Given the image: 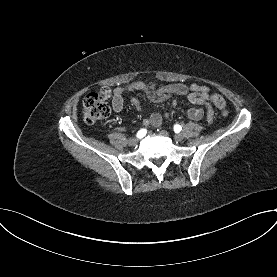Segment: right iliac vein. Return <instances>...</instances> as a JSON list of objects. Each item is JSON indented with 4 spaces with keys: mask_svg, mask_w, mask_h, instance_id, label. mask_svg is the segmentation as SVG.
I'll return each instance as SVG.
<instances>
[{
    "mask_svg": "<svg viewBox=\"0 0 277 277\" xmlns=\"http://www.w3.org/2000/svg\"><path fill=\"white\" fill-rule=\"evenodd\" d=\"M139 139L137 137L130 138L128 140L129 146H135L138 143Z\"/></svg>",
    "mask_w": 277,
    "mask_h": 277,
    "instance_id": "obj_1",
    "label": "right iliac vein"
}]
</instances>
